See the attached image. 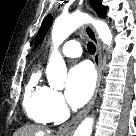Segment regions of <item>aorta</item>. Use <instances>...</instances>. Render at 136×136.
Returning a JSON list of instances; mask_svg holds the SVG:
<instances>
[{
	"label": "aorta",
	"mask_w": 136,
	"mask_h": 136,
	"mask_svg": "<svg viewBox=\"0 0 136 136\" xmlns=\"http://www.w3.org/2000/svg\"><path fill=\"white\" fill-rule=\"evenodd\" d=\"M91 23L95 27L99 38L104 44L110 46L112 44V33L109 26L101 21L90 17L82 12H74L66 16H59L53 25L52 43L53 51L49 58L46 69L47 79L50 87L55 90H62L67 76L66 64L58 51V47L66 40L69 35L80 26ZM94 119L86 118L77 127L73 136H91Z\"/></svg>",
	"instance_id": "aorta-1"
}]
</instances>
